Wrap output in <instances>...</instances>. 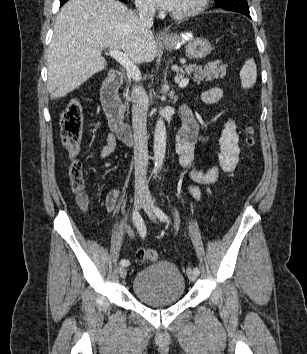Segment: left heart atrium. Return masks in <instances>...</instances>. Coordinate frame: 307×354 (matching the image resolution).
<instances>
[{
    "label": "left heart atrium",
    "instance_id": "obj_1",
    "mask_svg": "<svg viewBox=\"0 0 307 354\" xmlns=\"http://www.w3.org/2000/svg\"><path fill=\"white\" fill-rule=\"evenodd\" d=\"M151 1L159 8L168 11H172L177 2V0H151Z\"/></svg>",
    "mask_w": 307,
    "mask_h": 354
}]
</instances>
